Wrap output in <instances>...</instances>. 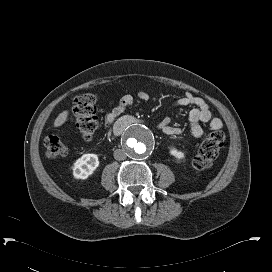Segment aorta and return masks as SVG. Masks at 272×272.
<instances>
[{
  "label": "aorta",
  "instance_id": "762f6f07",
  "mask_svg": "<svg viewBox=\"0 0 272 272\" xmlns=\"http://www.w3.org/2000/svg\"><path fill=\"white\" fill-rule=\"evenodd\" d=\"M154 145L155 138L145 126L133 125L124 133L123 146L131 158L141 159L148 156Z\"/></svg>",
  "mask_w": 272,
  "mask_h": 272
}]
</instances>
